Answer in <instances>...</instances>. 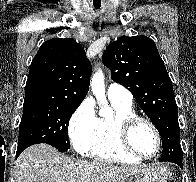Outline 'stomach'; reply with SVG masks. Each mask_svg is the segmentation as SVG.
I'll return each mask as SVG.
<instances>
[{"label":"stomach","instance_id":"stomach-1","mask_svg":"<svg viewBox=\"0 0 196 182\" xmlns=\"http://www.w3.org/2000/svg\"><path fill=\"white\" fill-rule=\"evenodd\" d=\"M169 175L168 167L154 164L149 168L140 169L125 182H167Z\"/></svg>","mask_w":196,"mask_h":182}]
</instances>
